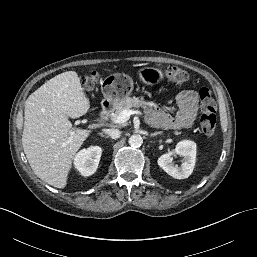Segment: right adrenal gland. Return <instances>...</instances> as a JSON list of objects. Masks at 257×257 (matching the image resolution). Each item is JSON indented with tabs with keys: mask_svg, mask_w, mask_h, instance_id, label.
<instances>
[{
	"mask_svg": "<svg viewBox=\"0 0 257 257\" xmlns=\"http://www.w3.org/2000/svg\"><path fill=\"white\" fill-rule=\"evenodd\" d=\"M99 135L101 136V137H108V136H106V135H104L103 133H99Z\"/></svg>",
	"mask_w": 257,
	"mask_h": 257,
	"instance_id": "right-adrenal-gland-1",
	"label": "right adrenal gland"
}]
</instances>
